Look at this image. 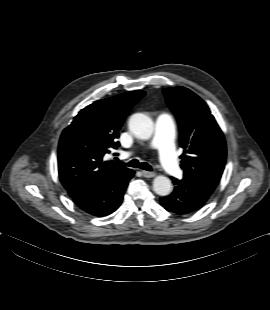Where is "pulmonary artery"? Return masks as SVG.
I'll return each mask as SVG.
<instances>
[{"label": "pulmonary artery", "instance_id": "pulmonary-artery-1", "mask_svg": "<svg viewBox=\"0 0 270 310\" xmlns=\"http://www.w3.org/2000/svg\"><path fill=\"white\" fill-rule=\"evenodd\" d=\"M175 125L173 117L168 113L160 114L156 119L155 133L152 138V146L159 151V158L167 170L173 176H180L182 169L175 154ZM130 155V153H127Z\"/></svg>", "mask_w": 270, "mask_h": 310}]
</instances>
